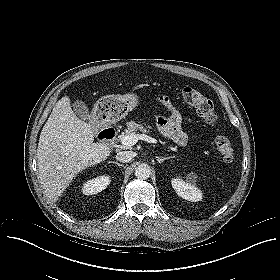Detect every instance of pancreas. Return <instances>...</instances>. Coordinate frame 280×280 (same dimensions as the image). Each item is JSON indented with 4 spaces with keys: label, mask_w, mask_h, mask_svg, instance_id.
Instances as JSON below:
<instances>
[{
    "label": "pancreas",
    "mask_w": 280,
    "mask_h": 280,
    "mask_svg": "<svg viewBox=\"0 0 280 280\" xmlns=\"http://www.w3.org/2000/svg\"><path fill=\"white\" fill-rule=\"evenodd\" d=\"M147 128H145L141 123L138 124L135 121L127 122V129L125 132L122 133L121 137L126 135L136 134L138 131L142 133H148L151 127L148 126Z\"/></svg>",
    "instance_id": "pancreas-1"
}]
</instances>
